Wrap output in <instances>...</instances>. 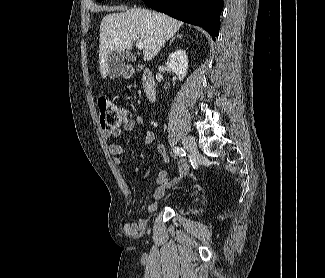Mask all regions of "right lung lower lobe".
<instances>
[{"label":"right lung lower lobe","instance_id":"98d812e1","mask_svg":"<svg viewBox=\"0 0 325 278\" xmlns=\"http://www.w3.org/2000/svg\"><path fill=\"white\" fill-rule=\"evenodd\" d=\"M147 6L178 20L198 25L215 41L220 29L223 0H143Z\"/></svg>","mask_w":325,"mask_h":278}]
</instances>
